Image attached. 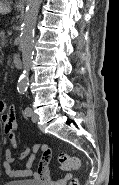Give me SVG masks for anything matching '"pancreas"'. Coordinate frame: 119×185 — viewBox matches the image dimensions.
Segmentation results:
<instances>
[{
	"instance_id": "1",
	"label": "pancreas",
	"mask_w": 119,
	"mask_h": 185,
	"mask_svg": "<svg viewBox=\"0 0 119 185\" xmlns=\"http://www.w3.org/2000/svg\"><path fill=\"white\" fill-rule=\"evenodd\" d=\"M0 44L4 47L7 46V38L5 36V33L2 31L0 32Z\"/></svg>"
}]
</instances>
